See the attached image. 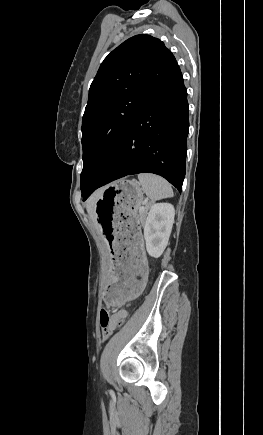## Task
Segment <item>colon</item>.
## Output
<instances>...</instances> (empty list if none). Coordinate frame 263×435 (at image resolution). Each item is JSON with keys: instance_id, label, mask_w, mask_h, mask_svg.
Listing matches in <instances>:
<instances>
[{"instance_id": "1", "label": "colon", "mask_w": 263, "mask_h": 435, "mask_svg": "<svg viewBox=\"0 0 263 435\" xmlns=\"http://www.w3.org/2000/svg\"><path fill=\"white\" fill-rule=\"evenodd\" d=\"M107 321H113L115 323V326H124L125 322L122 319H117L116 317H113L111 314V311L108 308H103L100 312V324L103 330V334L105 336L110 335L111 330H107L105 328V323Z\"/></svg>"}]
</instances>
